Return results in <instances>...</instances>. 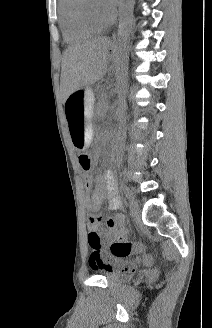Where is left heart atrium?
<instances>
[{
  "label": "left heart atrium",
  "mask_w": 212,
  "mask_h": 328,
  "mask_svg": "<svg viewBox=\"0 0 212 328\" xmlns=\"http://www.w3.org/2000/svg\"><path fill=\"white\" fill-rule=\"evenodd\" d=\"M104 6L111 12L114 10L117 0H102Z\"/></svg>",
  "instance_id": "39dd6f15"
}]
</instances>
